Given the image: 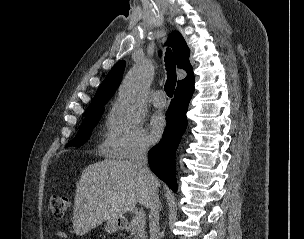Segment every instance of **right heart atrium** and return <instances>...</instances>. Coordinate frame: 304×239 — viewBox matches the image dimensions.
Segmentation results:
<instances>
[{"label": "right heart atrium", "mask_w": 304, "mask_h": 239, "mask_svg": "<svg viewBox=\"0 0 304 239\" xmlns=\"http://www.w3.org/2000/svg\"><path fill=\"white\" fill-rule=\"evenodd\" d=\"M149 141L141 124L129 120L118 108H114L101 147L111 156L132 158L145 154Z\"/></svg>", "instance_id": "right-heart-atrium-1"}]
</instances>
